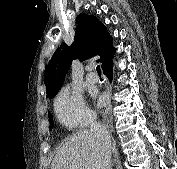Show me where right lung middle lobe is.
I'll list each match as a JSON object with an SVG mask.
<instances>
[{
	"mask_svg": "<svg viewBox=\"0 0 177 169\" xmlns=\"http://www.w3.org/2000/svg\"><path fill=\"white\" fill-rule=\"evenodd\" d=\"M49 121H50V129H51L53 126V118L50 115H49Z\"/></svg>",
	"mask_w": 177,
	"mask_h": 169,
	"instance_id": "obj_1",
	"label": "right lung middle lobe"
}]
</instances>
